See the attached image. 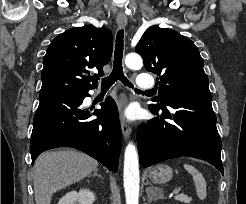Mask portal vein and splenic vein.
Returning a JSON list of instances; mask_svg holds the SVG:
<instances>
[{"instance_id": "portal-vein-and-splenic-vein-1", "label": "portal vein and splenic vein", "mask_w": 246, "mask_h": 204, "mask_svg": "<svg viewBox=\"0 0 246 204\" xmlns=\"http://www.w3.org/2000/svg\"><path fill=\"white\" fill-rule=\"evenodd\" d=\"M173 193H174L175 195H177V194L179 193V190H178V189H175V190L173 191Z\"/></svg>"}]
</instances>
